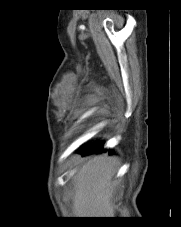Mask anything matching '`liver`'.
Wrapping results in <instances>:
<instances>
[{
  "label": "liver",
  "mask_w": 181,
  "mask_h": 227,
  "mask_svg": "<svg viewBox=\"0 0 181 227\" xmlns=\"http://www.w3.org/2000/svg\"><path fill=\"white\" fill-rule=\"evenodd\" d=\"M117 162L106 155L82 159L73 178L72 213L75 217H114L112 198Z\"/></svg>",
  "instance_id": "obj_1"
}]
</instances>
